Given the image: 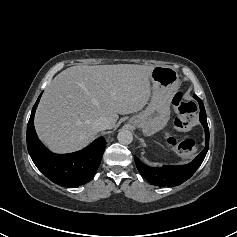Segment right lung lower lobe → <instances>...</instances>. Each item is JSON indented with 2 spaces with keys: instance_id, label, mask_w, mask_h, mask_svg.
Here are the masks:
<instances>
[{
  "instance_id": "right-lung-lower-lobe-1",
  "label": "right lung lower lobe",
  "mask_w": 237,
  "mask_h": 237,
  "mask_svg": "<svg viewBox=\"0 0 237 237\" xmlns=\"http://www.w3.org/2000/svg\"><path fill=\"white\" fill-rule=\"evenodd\" d=\"M38 97L27 126V148L36 167L51 181L64 187H77L89 182L96 173L106 143L98 138L81 151L70 154H54L38 139L34 128V114Z\"/></svg>"
}]
</instances>
